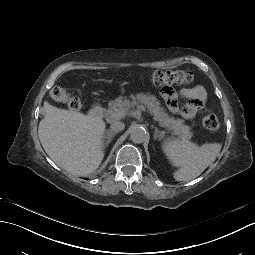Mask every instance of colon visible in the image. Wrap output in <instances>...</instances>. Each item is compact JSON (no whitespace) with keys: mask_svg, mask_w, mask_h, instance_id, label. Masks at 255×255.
<instances>
[{"mask_svg":"<svg viewBox=\"0 0 255 255\" xmlns=\"http://www.w3.org/2000/svg\"><path fill=\"white\" fill-rule=\"evenodd\" d=\"M150 79L153 84L167 89L166 87L174 84H190L193 82L194 76L186 70H157L152 73ZM50 94L54 101L66 104L71 110L75 111L81 107L80 99L62 86L53 87ZM203 126L209 131H217L221 123L215 114L209 112L203 117Z\"/></svg>","mask_w":255,"mask_h":255,"instance_id":"obj_1","label":"colon"}]
</instances>
